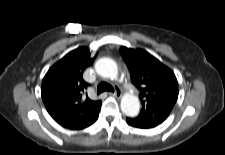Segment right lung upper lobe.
Masks as SVG:
<instances>
[{"mask_svg": "<svg viewBox=\"0 0 225 155\" xmlns=\"http://www.w3.org/2000/svg\"><path fill=\"white\" fill-rule=\"evenodd\" d=\"M93 60L88 48L79 47L54 64L42 81L41 96L45 107L64 128L84 129L98 118L102 102L82 97L88 86L83 72Z\"/></svg>", "mask_w": 225, "mask_h": 155, "instance_id": "obj_1", "label": "right lung upper lobe"}]
</instances>
